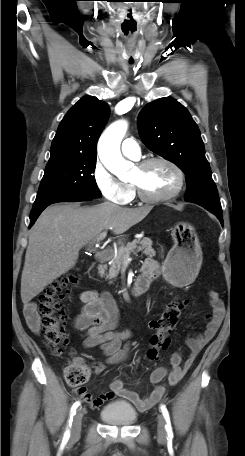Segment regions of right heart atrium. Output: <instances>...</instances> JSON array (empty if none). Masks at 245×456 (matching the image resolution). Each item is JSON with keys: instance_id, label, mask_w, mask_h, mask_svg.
I'll return each mask as SVG.
<instances>
[{"instance_id": "d8ad5b80", "label": "right heart atrium", "mask_w": 245, "mask_h": 456, "mask_svg": "<svg viewBox=\"0 0 245 456\" xmlns=\"http://www.w3.org/2000/svg\"><path fill=\"white\" fill-rule=\"evenodd\" d=\"M91 176L96 188L106 200L120 205L130 201V186L119 181L100 160L95 161Z\"/></svg>"}]
</instances>
